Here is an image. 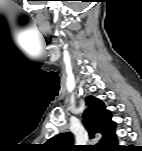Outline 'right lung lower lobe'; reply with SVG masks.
<instances>
[{
    "instance_id": "right-lung-lower-lobe-1",
    "label": "right lung lower lobe",
    "mask_w": 142,
    "mask_h": 151,
    "mask_svg": "<svg viewBox=\"0 0 142 151\" xmlns=\"http://www.w3.org/2000/svg\"><path fill=\"white\" fill-rule=\"evenodd\" d=\"M120 148H121V147L115 145V143H114V145H113L109 150H122V149H120Z\"/></svg>"
}]
</instances>
